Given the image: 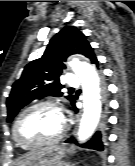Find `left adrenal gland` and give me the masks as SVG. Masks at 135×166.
<instances>
[{"label": "left adrenal gland", "instance_id": "left-adrenal-gland-1", "mask_svg": "<svg viewBox=\"0 0 135 166\" xmlns=\"http://www.w3.org/2000/svg\"><path fill=\"white\" fill-rule=\"evenodd\" d=\"M76 164H71V165H69V166H75Z\"/></svg>", "mask_w": 135, "mask_h": 166}]
</instances>
